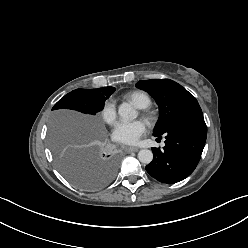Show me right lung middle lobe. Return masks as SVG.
I'll use <instances>...</instances> for the list:
<instances>
[{
	"label": "right lung middle lobe",
	"instance_id": "1",
	"mask_svg": "<svg viewBox=\"0 0 248 248\" xmlns=\"http://www.w3.org/2000/svg\"><path fill=\"white\" fill-rule=\"evenodd\" d=\"M115 88L76 89L62 97L52 108L72 109L85 114L95 115L101 111L106 99ZM88 138L86 127L78 126L69 133L53 131L50 138L51 150L56 165L63 176L76 187L95 191L105 187L114 178L117 161L111 158H93L90 154L91 144L84 146L70 145L75 139Z\"/></svg>",
	"mask_w": 248,
	"mask_h": 248
}]
</instances>
